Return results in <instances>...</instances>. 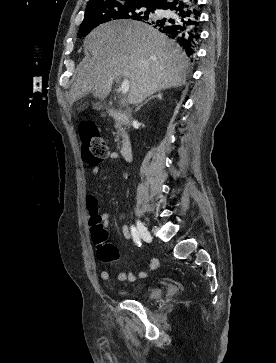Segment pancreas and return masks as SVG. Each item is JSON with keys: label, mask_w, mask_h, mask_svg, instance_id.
I'll return each instance as SVG.
<instances>
[{"label": "pancreas", "mask_w": 276, "mask_h": 363, "mask_svg": "<svg viewBox=\"0 0 276 363\" xmlns=\"http://www.w3.org/2000/svg\"><path fill=\"white\" fill-rule=\"evenodd\" d=\"M115 128L117 129V136H116V139H115V141L116 142H118L119 141V137L120 136H124L125 135V132H124V129L122 128V124L121 123H119V122H117L116 124H115Z\"/></svg>", "instance_id": "1"}]
</instances>
